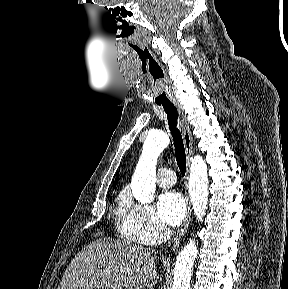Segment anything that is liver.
<instances>
[{"label":"liver","mask_w":288,"mask_h":289,"mask_svg":"<svg viewBox=\"0 0 288 289\" xmlns=\"http://www.w3.org/2000/svg\"><path fill=\"white\" fill-rule=\"evenodd\" d=\"M153 249L100 238L71 261L57 289H145L157 283Z\"/></svg>","instance_id":"6515ba94"}]
</instances>
